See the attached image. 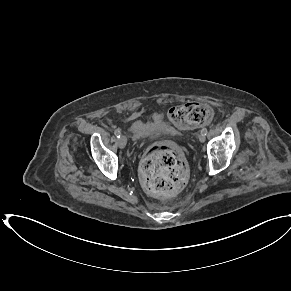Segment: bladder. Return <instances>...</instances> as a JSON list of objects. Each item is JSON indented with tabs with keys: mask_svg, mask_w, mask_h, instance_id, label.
<instances>
[{
	"mask_svg": "<svg viewBox=\"0 0 291 291\" xmlns=\"http://www.w3.org/2000/svg\"><path fill=\"white\" fill-rule=\"evenodd\" d=\"M166 127V132L172 133L174 129L169 127L161 116L155 115L148 122L132 121L130 123V132L138 139L145 138L153 133L160 132L162 127Z\"/></svg>",
	"mask_w": 291,
	"mask_h": 291,
	"instance_id": "obj_1",
	"label": "bladder"
}]
</instances>
